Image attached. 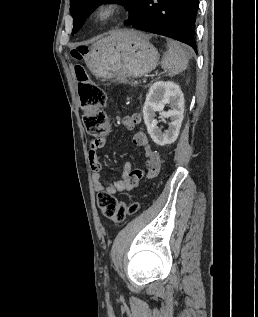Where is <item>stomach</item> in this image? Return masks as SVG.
<instances>
[{"instance_id":"1","label":"stomach","mask_w":258,"mask_h":317,"mask_svg":"<svg viewBox=\"0 0 258 317\" xmlns=\"http://www.w3.org/2000/svg\"><path fill=\"white\" fill-rule=\"evenodd\" d=\"M85 46L84 62L93 74L103 78L144 76L159 60L157 48L138 30H124L120 38H108Z\"/></svg>"}]
</instances>
